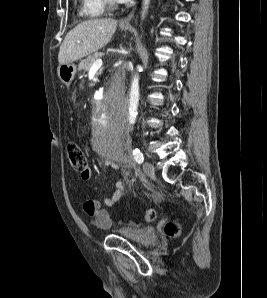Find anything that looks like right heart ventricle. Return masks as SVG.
<instances>
[{
	"mask_svg": "<svg viewBox=\"0 0 267 298\" xmlns=\"http://www.w3.org/2000/svg\"><path fill=\"white\" fill-rule=\"evenodd\" d=\"M105 13L103 0H80L79 15L87 19L100 18Z\"/></svg>",
	"mask_w": 267,
	"mask_h": 298,
	"instance_id": "obj_1",
	"label": "right heart ventricle"
}]
</instances>
